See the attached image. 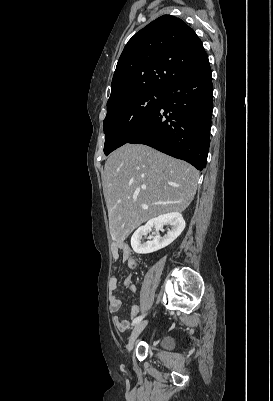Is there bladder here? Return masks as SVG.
<instances>
[{"label":"bladder","mask_w":273,"mask_h":401,"mask_svg":"<svg viewBox=\"0 0 273 401\" xmlns=\"http://www.w3.org/2000/svg\"><path fill=\"white\" fill-rule=\"evenodd\" d=\"M172 347V341L170 338H165L162 342V348L169 350Z\"/></svg>","instance_id":"bladder-1"}]
</instances>
